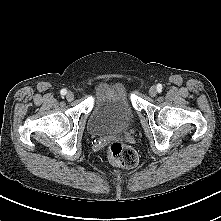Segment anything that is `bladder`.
Returning a JSON list of instances; mask_svg holds the SVG:
<instances>
[{
    "instance_id": "obj_1",
    "label": "bladder",
    "mask_w": 221,
    "mask_h": 221,
    "mask_svg": "<svg viewBox=\"0 0 221 221\" xmlns=\"http://www.w3.org/2000/svg\"><path fill=\"white\" fill-rule=\"evenodd\" d=\"M134 124V113L124 88L104 83L97 91L89 113L87 129L96 137H109L128 132Z\"/></svg>"
}]
</instances>
